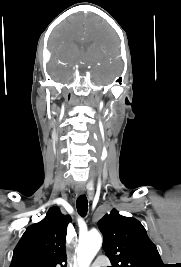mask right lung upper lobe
I'll return each instance as SVG.
<instances>
[{"label":"right lung upper lobe","mask_w":181,"mask_h":267,"mask_svg":"<svg viewBox=\"0 0 181 267\" xmlns=\"http://www.w3.org/2000/svg\"><path fill=\"white\" fill-rule=\"evenodd\" d=\"M70 220L58 207L50 208L42 221L26 229L10 267H66L65 241Z\"/></svg>","instance_id":"1"}]
</instances>
